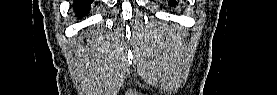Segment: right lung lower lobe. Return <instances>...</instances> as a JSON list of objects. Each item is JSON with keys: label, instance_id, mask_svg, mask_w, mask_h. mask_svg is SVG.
<instances>
[{"label": "right lung lower lobe", "instance_id": "98d812e1", "mask_svg": "<svg viewBox=\"0 0 277 95\" xmlns=\"http://www.w3.org/2000/svg\"><path fill=\"white\" fill-rule=\"evenodd\" d=\"M92 0H76L73 4V8L76 14L81 18L82 16L88 15Z\"/></svg>", "mask_w": 277, "mask_h": 95}]
</instances>
